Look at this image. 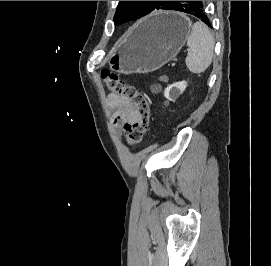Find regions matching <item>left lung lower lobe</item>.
<instances>
[{"instance_id": "left-lung-lower-lobe-1", "label": "left lung lower lobe", "mask_w": 271, "mask_h": 266, "mask_svg": "<svg viewBox=\"0 0 271 266\" xmlns=\"http://www.w3.org/2000/svg\"><path fill=\"white\" fill-rule=\"evenodd\" d=\"M168 10H177L192 14L211 27L210 19L204 10L203 1H175Z\"/></svg>"}]
</instances>
